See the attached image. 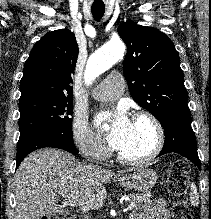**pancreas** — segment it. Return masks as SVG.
Returning <instances> with one entry per match:
<instances>
[{"instance_id":"pancreas-1","label":"pancreas","mask_w":211,"mask_h":219,"mask_svg":"<svg viewBox=\"0 0 211 219\" xmlns=\"http://www.w3.org/2000/svg\"><path fill=\"white\" fill-rule=\"evenodd\" d=\"M128 197L131 198L135 208L151 202L150 201L151 194L149 192H145L142 194H130L128 195Z\"/></svg>"}]
</instances>
